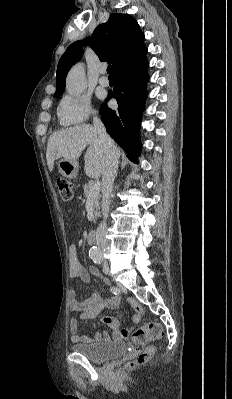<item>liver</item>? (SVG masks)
<instances>
[{"mask_svg": "<svg viewBox=\"0 0 232 399\" xmlns=\"http://www.w3.org/2000/svg\"><path fill=\"white\" fill-rule=\"evenodd\" d=\"M86 146L87 152L84 156L85 174L88 178H100L105 170L107 148L101 144L94 126L79 124L72 128H65L51 134L46 152L47 166L52 172L55 160H78ZM118 156L120 152L114 146Z\"/></svg>", "mask_w": 232, "mask_h": 399, "instance_id": "6515ba94", "label": "liver"}]
</instances>
